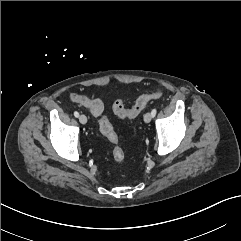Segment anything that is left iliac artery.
<instances>
[{
    "label": "left iliac artery",
    "mask_w": 241,
    "mask_h": 241,
    "mask_svg": "<svg viewBox=\"0 0 241 241\" xmlns=\"http://www.w3.org/2000/svg\"><path fill=\"white\" fill-rule=\"evenodd\" d=\"M156 113H157V110H156V109H153L152 112H151L152 117H155Z\"/></svg>",
    "instance_id": "left-iliac-artery-1"
}]
</instances>
